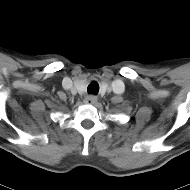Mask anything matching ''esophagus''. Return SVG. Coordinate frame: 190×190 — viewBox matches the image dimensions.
Returning a JSON list of instances; mask_svg holds the SVG:
<instances>
[{"label": "esophagus", "mask_w": 190, "mask_h": 190, "mask_svg": "<svg viewBox=\"0 0 190 190\" xmlns=\"http://www.w3.org/2000/svg\"><path fill=\"white\" fill-rule=\"evenodd\" d=\"M85 103L89 105H93L97 102V97L94 95H89L85 98Z\"/></svg>", "instance_id": "1"}]
</instances>
